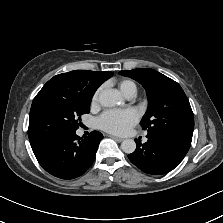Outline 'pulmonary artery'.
Instances as JSON below:
<instances>
[{
	"instance_id": "e3ab8cb5",
	"label": "pulmonary artery",
	"mask_w": 223,
	"mask_h": 223,
	"mask_svg": "<svg viewBox=\"0 0 223 223\" xmlns=\"http://www.w3.org/2000/svg\"><path fill=\"white\" fill-rule=\"evenodd\" d=\"M126 97L128 99H133L135 97V93L134 92H131V93L127 94Z\"/></svg>"
}]
</instances>
